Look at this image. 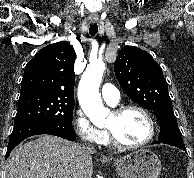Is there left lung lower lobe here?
Listing matches in <instances>:
<instances>
[{
    "instance_id": "left-lung-lower-lobe-1",
    "label": "left lung lower lobe",
    "mask_w": 194,
    "mask_h": 178,
    "mask_svg": "<svg viewBox=\"0 0 194 178\" xmlns=\"http://www.w3.org/2000/svg\"><path fill=\"white\" fill-rule=\"evenodd\" d=\"M158 143L169 144L186 151L182 134L178 129L177 122H167L160 126V135L158 141H154L152 144Z\"/></svg>"
}]
</instances>
